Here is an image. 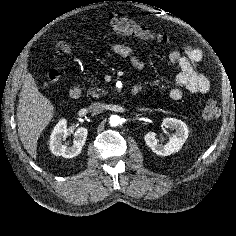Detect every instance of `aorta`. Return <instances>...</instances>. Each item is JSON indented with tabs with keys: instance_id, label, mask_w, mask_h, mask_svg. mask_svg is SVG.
Returning <instances> with one entry per match:
<instances>
[{
	"instance_id": "aorta-1",
	"label": "aorta",
	"mask_w": 236,
	"mask_h": 236,
	"mask_svg": "<svg viewBox=\"0 0 236 236\" xmlns=\"http://www.w3.org/2000/svg\"><path fill=\"white\" fill-rule=\"evenodd\" d=\"M121 122V119L118 115H112L110 117V124L111 126H118Z\"/></svg>"
}]
</instances>
